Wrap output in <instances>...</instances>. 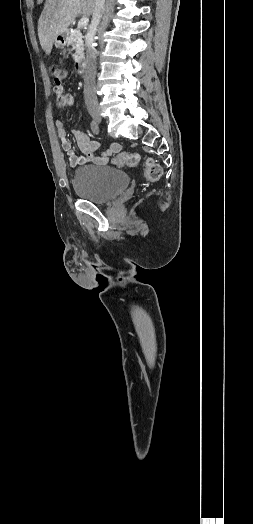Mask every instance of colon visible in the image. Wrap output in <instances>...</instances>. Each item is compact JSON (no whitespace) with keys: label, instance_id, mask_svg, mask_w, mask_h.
Listing matches in <instances>:
<instances>
[{"label":"colon","instance_id":"1","mask_svg":"<svg viewBox=\"0 0 253 524\" xmlns=\"http://www.w3.org/2000/svg\"><path fill=\"white\" fill-rule=\"evenodd\" d=\"M49 72L53 77L55 87L62 88V84L69 76V69L58 64H53L49 68ZM140 162V155L136 152H120L115 157V164L119 167H135ZM162 176L161 166L153 161L148 160L146 163L145 177L149 182H156Z\"/></svg>","mask_w":253,"mask_h":524}]
</instances>
